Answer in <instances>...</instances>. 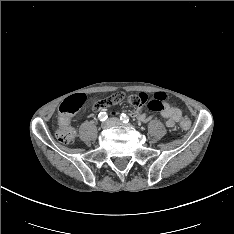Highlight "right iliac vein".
<instances>
[{
	"mask_svg": "<svg viewBox=\"0 0 234 234\" xmlns=\"http://www.w3.org/2000/svg\"><path fill=\"white\" fill-rule=\"evenodd\" d=\"M111 125H112L111 122L108 120V121L102 123V128L103 129H108V128L111 127Z\"/></svg>",
	"mask_w": 234,
	"mask_h": 234,
	"instance_id": "63e3f726",
	"label": "right iliac vein"
}]
</instances>
